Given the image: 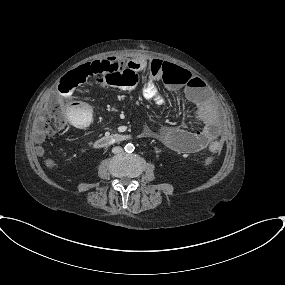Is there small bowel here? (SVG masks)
<instances>
[{
    "instance_id": "1",
    "label": "small bowel",
    "mask_w": 285,
    "mask_h": 285,
    "mask_svg": "<svg viewBox=\"0 0 285 285\" xmlns=\"http://www.w3.org/2000/svg\"><path fill=\"white\" fill-rule=\"evenodd\" d=\"M112 61V59H110ZM126 64L134 69L147 70V80L142 88L143 96L155 104H165L167 99L155 89L154 81L162 76L164 62L160 59L127 60ZM167 85L171 91H183L191 103L194 119L199 123V129L189 131L183 128L166 126L153 133L168 148L182 153H195L215 142H221L220 132L208 118L203 100L200 97L201 87L199 78L190 72L185 77H167ZM66 112L70 124L79 127L82 120L90 119L87 103L81 100H72L67 103Z\"/></svg>"
}]
</instances>
